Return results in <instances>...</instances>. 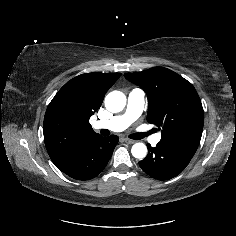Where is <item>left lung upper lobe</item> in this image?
Segmentation results:
<instances>
[{
  "label": "left lung upper lobe",
  "mask_w": 236,
  "mask_h": 236,
  "mask_svg": "<svg viewBox=\"0 0 236 236\" xmlns=\"http://www.w3.org/2000/svg\"><path fill=\"white\" fill-rule=\"evenodd\" d=\"M125 78L147 93V121L162 127L161 141L200 142L204 112L193 85L177 73L153 67Z\"/></svg>",
  "instance_id": "left-lung-upper-lobe-1"
}]
</instances>
